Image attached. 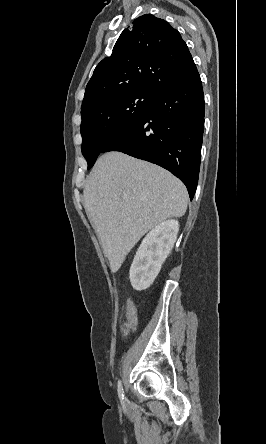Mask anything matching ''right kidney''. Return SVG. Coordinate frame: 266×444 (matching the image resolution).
<instances>
[{
  "label": "right kidney",
  "mask_w": 266,
  "mask_h": 444,
  "mask_svg": "<svg viewBox=\"0 0 266 444\" xmlns=\"http://www.w3.org/2000/svg\"><path fill=\"white\" fill-rule=\"evenodd\" d=\"M179 223L167 220L155 226L143 239L130 268V282L137 290L149 288L177 239Z\"/></svg>",
  "instance_id": "right-kidney-1"
}]
</instances>
